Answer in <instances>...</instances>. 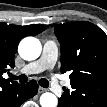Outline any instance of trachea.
Segmentation results:
<instances>
[{"instance_id": "1", "label": "trachea", "mask_w": 107, "mask_h": 107, "mask_svg": "<svg viewBox=\"0 0 107 107\" xmlns=\"http://www.w3.org/2000/svg\"><path fill=\"white\" fill-rule=\"evenodd\" d=\"M19 78V81L21 82V83H25L26 81H27V77L25 76V75H21V76H19L18 77ZM39 84L42 86V87H48V85H49V82L46 80V79H41L40 81H39Z\"/></svg>"}]
</instances>
